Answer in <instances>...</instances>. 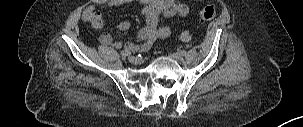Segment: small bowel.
<instances>
[{
  "label": "small bowel",
  "instance_id": "small-bowel-1",
  "mask_svg": "<svg viewBox=\"0 0 303 127\" xmlns=\"http://www.w3.org/2000/svg\"><path fill=\"white\" fill-rule=\"evenodd\" d=\"M137 2L141 6V13L146 18L145 26L139 31V43L122 41H113L110 33H103L100 36V42L103 45H112L115 49L124 48L128 52H145L160 39H163V33L169 32L167 26H160L162 17L170 18L175 16H186L188 7L186 4L177 0H97L94 4L89 5L83 13L85 21L89 22L92 27L99 30L104 25V17L100 9L107 7H118L126 3ZM131 27L129 21H122L118 24L119 30L125 32Z\"/></svg>",
  "mask_w": 303,
  "mask_h": 127
}]
</instances>
